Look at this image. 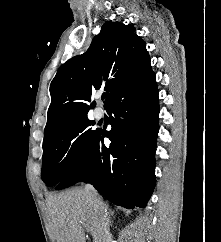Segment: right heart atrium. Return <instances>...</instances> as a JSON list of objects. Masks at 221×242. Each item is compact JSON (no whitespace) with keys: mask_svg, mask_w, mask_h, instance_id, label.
I'll list each match as a JSON object with an SVG mask.
<instances>
[{"mask_svg":"<svg viewBox=\"0 0 221 242\" xmlns=\"http://www.w3.org/2000/svg\"><path fill=\"white\" fill-rule=\"evenodd\" d=\"M82 153H83V148H82V143L80 139L74 138L70 142V146H69L70 157L75 161H79L82 157Z\"/></svg>","mask_w":221,"mask_h":242,"instance_id":"right-heart-atrium-1","label":"right heart atrium"}]
</instances>
